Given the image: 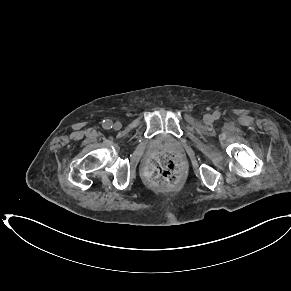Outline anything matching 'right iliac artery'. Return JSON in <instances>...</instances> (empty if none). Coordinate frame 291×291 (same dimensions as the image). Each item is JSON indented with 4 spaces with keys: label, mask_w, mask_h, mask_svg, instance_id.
<instances>
[{
    "label": "right iliac artery",
    "mask_w": 291,
    "mask_h": 291,
    "mask_svg": "<svg viewBox=\"0 0 291 291\" xmlns=\"http://www.w3.org/2000/svg\"><path fill=\"white\" fill-rule=\"evenodd\" d=\"M102 126L105 129H111L113 127V123L110 120H104Z\"/></svg>",
    "instance_id": "right-iliac-artery-1"
}]
</instances>
